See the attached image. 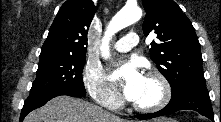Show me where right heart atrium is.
Instances as JSON below:
<instances>
[{
  "label": "right heart atrium",
  "instance_id": "obj_1",
  "mask_svg": "<svg viewBox=\"0 0 221 122\" xmlns=\"http://www.w3.org/2000/svg\"><path fill=\"white\" fill-rule=\"evenodd\" d=\"M83 83L88 94L96 103L113 110L121 106L120 94L107 84L100 67L87 64L83 72Z\"/></svg>",
  "mask_w": 221,
  "mask_h": 122
}]
</instances>
